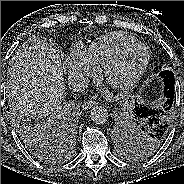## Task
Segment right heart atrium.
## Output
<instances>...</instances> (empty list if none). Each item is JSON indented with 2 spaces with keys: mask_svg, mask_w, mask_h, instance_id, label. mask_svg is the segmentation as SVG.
I'll list each match as a JSON object with an SVG mask.
<instances>
[{
  "mask_svg": "<svg viewBox=\"0 0 184 184\" xmlns=\"http://www.w3.org/2000/svg\"><path fill=\"white\" fill-rule=\"evenodd\" d=\"M67 61L73 76L86 78L97 73V65L88 56L86 48L80 44L73 46Z\"/></svg>",
  "mask_w": 184,
  "mask_h": 184,
  "instance_id": "d8ad5b80",
  "label": "right heart atrium"
}]
</instances>
